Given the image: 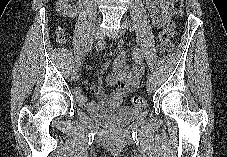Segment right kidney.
<instances>
[{
	"label": "right kidney",
	"mask_w": 227,
	"mask_h": 157,
	"mask_svg": "<svg viewBox=\"0 0 227 157\" xmlns=\"http://www.w3.org/2000/svg\"><path fill=\"white\" fill-rule=\"evenodd\" d=\"M60 5L58 7V11L62 12L64 16L68 17H75L76 16V9L74 7L68 6V0H60Z\"/></svg>",
	"instance_id": "ca27d5eb"
}]
</instances>
